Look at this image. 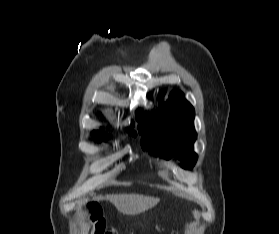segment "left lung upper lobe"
I'll use <instances>...</instances> for the list:
<instances>
[{
  "instance_id": "obj_1",
  "label": "left lung upper lobe",
  "mask_w": 279,
  "mask_h": 234,
  "mask_svg": "<svg viewBox=\"0 0 279 234\" xmlns=\"http://www.w3.org/2000/svg\"><path fill=\"white\" fill-rule=\"evenodd\" d=\"M162 99L163 94L160 96ZM194 116L193 106L179 91H173L146 123L142 120V112L138 110L136 113L139 133L144 128L147 131L145 142L150 152L165 159L175 157L185 169H191L198 158L193 151L197 137L193 125ZM141 145L144 148V141H141Z\"/></svg>"
}]
</instances>
